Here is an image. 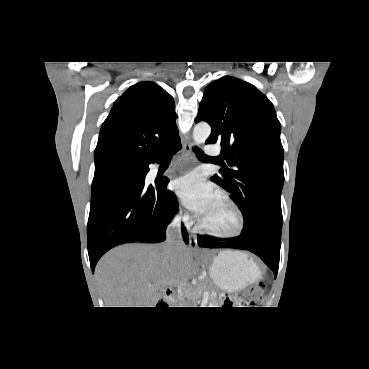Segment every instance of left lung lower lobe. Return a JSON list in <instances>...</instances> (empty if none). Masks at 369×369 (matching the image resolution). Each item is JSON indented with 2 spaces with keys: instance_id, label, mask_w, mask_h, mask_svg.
<instances>
[{
  "instance_id": "obj_1",
  "label": "left lung lower lobe",
  "mask_w": 369,
  "mask_h": 369,
  "mask_svg": "<svg viewBox=\"0 0 369 369\" xmlns=\"http://www.w3.org/2000/svg\"><path fill=\"white\" fill-rule=\"evenodd\" d=\"M282 219L272 217L261 219L248 231H242L239 237L228 242H211L198 237L200 247L235 248L249 250L258 255L274 272L276 277L279 267Z\"/></svg>"
}]
</instances>
